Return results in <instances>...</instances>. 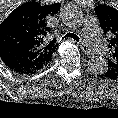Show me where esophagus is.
<instances>
[{
    "mask_svg": "<svg viewBox=\"0 0 118 118\" xmlns=\"http://www.w3.org/2000/svg\"><path fill=\"white\" fill-rule=\"evenodd\" d=\"M80 47H81V50H82L85 54H91V53H92L91 49H90L87 45L81 43V44H80Z\"/></svg>",
    "mask_w": 118,
    "mask_h": 118,
    "instance_id": "obj_1",
    "label": "esophagus"
}]
</instances>
